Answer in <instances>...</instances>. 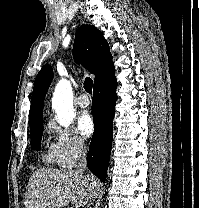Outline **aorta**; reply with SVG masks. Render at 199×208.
Masks as SVG:
<instances>
[{
    "instance_id": "1",
    "label": "aorta",
    "mask_w": 199,
    "mask_h": 208,
    "mask_svg": "<svg viewBox=\"0 0 199 208\" xmlns=\"http://www.w3.org/2000/svg\"><path fill=\"white\" fill-rule=\"evenodd\" d=\"M52 108L57 115L58 123L63 127H68L75 117L73 109V91L70 82L65 79L60 80L52 98Z\"/></svg>"
}]
</instances>
